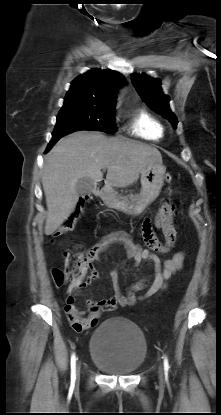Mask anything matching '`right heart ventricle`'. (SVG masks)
Returning <instances> with one entry per match:
<instances>
[{
	"instance_id": "1",
	"label": "right heart ventricle",
	"mask_w": 221,
	"mask_h": 415,
	"mask_svg": "<svg viewBox=\"0 0 221 415\" xmlns=\"http://www.w3.org/2000/svg\"><path fill=\"white\" fill-rule=\"evenodd\" d=\"M127 128L130 134L150 141H158L165 134L162 122L146 109L133 113Z\"/></svg>"
}]
</instances>
